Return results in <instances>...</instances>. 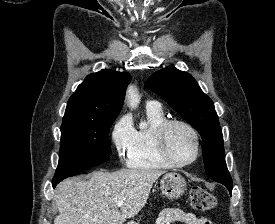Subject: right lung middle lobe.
<instances>
[{
  "mask_svg": "<svg viewBox=\"0 0 275 224\" xmlns=\"http://www.w3.org/2000/svg\"><path fill=\"white\" fill-rule=\"evenodd\" d=\"M115 119L62 123L59 164L53 182L75 176L110 158L108 134Z\"/></svg>",
  "mask_w": 275,
  "mask_h": 224,
  "instance_id": "1",
  "label": "right lung middle lobe"
}]
</instances>
